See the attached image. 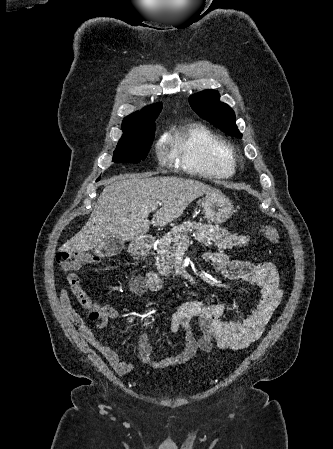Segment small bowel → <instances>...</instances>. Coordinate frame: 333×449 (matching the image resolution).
Masks as SVG:
<instances>
[{"mask_svg":"<svg viewBox=\"0 0 333 449\" xmlns=\"http://www.w3.org/2000/svg\"><path fill=\"white\" fill-rule=\"evenodd\" d=\"M205 261L215 270L230 279L240 280L248 293L257 290L259 300L256 308L246 317L224 320V305L207 301H186L182 303L172 316L170 329L173 333L180 330L184 333L182 349L172 355L156 359L147 334L136 337L140 360L153 369H164L185 363L198 351L208 353L216 345L221 349L239 350L247 347L263 333L273 312L283 296L279 275L275 266L269 262L229 261L221 252H208ZM69 291L88 311L101 309L103 320L115 319L117 311L112 307L101 308L92 301L81 286L80 277L75 272L66 276ZM59 300L67 317L78 326L81 336L99 350L119 375L130 373L135 365L121 361L118 354L107 344L99 340L91 329L83 322L71 305L67 289L60 291ZM198 320L200 335L195 336L191 322Z\"/></svg>","mask_w":333,"mask_h":449,"instance_id":"1","label":"small bowel"}]
</instances>
